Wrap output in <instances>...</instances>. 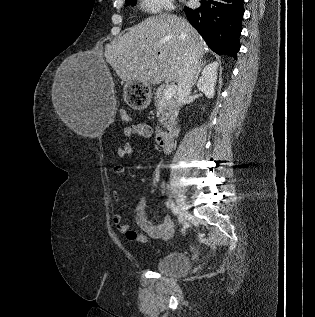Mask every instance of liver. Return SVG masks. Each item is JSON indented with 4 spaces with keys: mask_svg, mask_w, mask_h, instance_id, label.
Returning a JSON list of instances; mask_svg holds the SVG:
<instances>
[{
    "mask_svg": "<svg viewBox=\"0 0 315 317\" xmlns=\"http://www.w3.org/2000/svg\"><path fill=\"white\" fill-rule=\"evenodd\" d=\"M208 50L198 32L184 18L160 14L145 19L124 34L117 44L105 49L107 62L125 82L138 80L146 84L178 81L187 55L199 57ZM69 64L66 61L63 65ZM75 132L79 123L61 115Z\"/></svg>",
    "mask_w": 315,
    "mask_h": 317,
    "instance_id": "1",
    "label": "liver"
}]
</instances>
